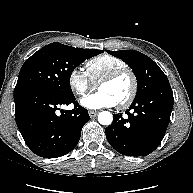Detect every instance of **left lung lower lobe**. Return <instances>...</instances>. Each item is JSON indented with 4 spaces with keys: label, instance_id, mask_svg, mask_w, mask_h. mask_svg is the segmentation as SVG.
Segmentation results:
<instances>
[{
    "label": "left lung lower lobe",
    "instance_id": "left-lung-lower-lobe-1",
    "mask_svg": "<svg viewBox=\"0 0 193 193\" xmlns=\"http://www.w3.org/2000/svg\"><path fill=\"white\" fill-rule=\"evenodd\" d=\"M174 103L169 81H163L143 97L132 102L125 112L114 114L106 128L110 145L119 153L129 156H146L161 143Z\"/></svg>",
    "mask_w": 193,
    "mask_h": 193
}]
</instances>
